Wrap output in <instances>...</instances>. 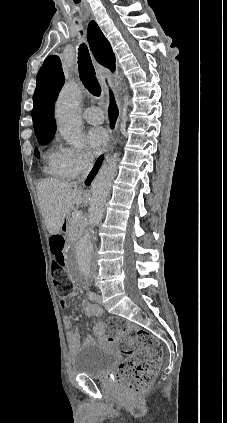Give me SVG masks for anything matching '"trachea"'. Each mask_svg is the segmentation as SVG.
<instances>
[{"label": "trachea", "instance_id": "obj_1", "mask_svg": "<svg viewBox=\"0 0 227 423\" xmlns=\"http://www.w3.org/2000/svg\"><path fill=\"white\" fill-rule=\"evenodd\" d=\"M78 70L80 79L87 90L95 97H100L102 90L92 64L86 44H81L78 52Z\"/></svg>", "mask_w": 227, "mask_h": 423}]
</instances>
